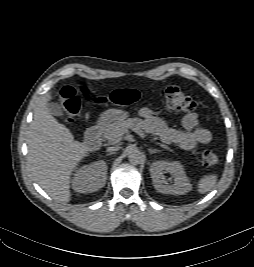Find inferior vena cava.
<instances>
[{"mask_svg": "<svg viewBox=\"0 0 254 267\" xmlns=\"http://www.w3.org/2000/svg\"><path fill=\"white\" fill-rule=\"evenodd\" d=\"M119 148L118 147H108L107 148V152H114V151H117Z\"/></svg>", "mask_w": 254, "mask_h": 267, "instance_id": "1", "label": "inferior vena cava"}]
</instances>
